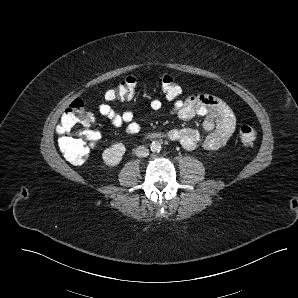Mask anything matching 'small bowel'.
I'll list each match as a JSON object with an SVG mask.
<instances>
[{
  "label": "small bowel",
  "mask_w": 298,
  "mask_h": 298,
  "mask_svg": "<svg viewBox=\"0 0 298 298\" xmlns=\"http://www.w3.org/2000/svg\"><path fill=\"white\" fill-rule=\"evenodd\" d=\"M105 98L107 101H114L106 95ZM149 107L158 112L163 108V103L159 99H152ZM97 111L113 126H125L127 134L138 133L146 121L145 117L137 121L136 114L130 110L118 112L107 102L100 103ZM169 112L185 121L196 116L203 118L202 129L207 133L204 137L193 128L172 129L167 132L171 140L180 142L186 150H194L199 145L207 150H217L227 143L236 126V118L231 108L222 99L210 94L200 93L178 99Z\"/></svg>",
  "instance_id": "small-bowel-1"
}]
</instances>
